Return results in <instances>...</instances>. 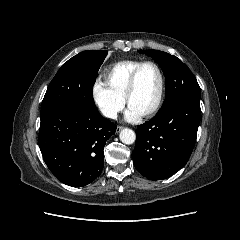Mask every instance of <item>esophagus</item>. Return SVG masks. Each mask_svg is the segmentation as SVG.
<instances>
[{"mask_svg":"<svg viewBox=\"0 0 240 240\" xmlns=\"http://www.w3.org/2000/svg\"><path fill=\"white\" fill-rule=\"evenodd\" d=\"M122 129H123L122 126H118L117 129H116V133H119Z\"/></svg>","mask_w":240,"mask_h":240,"instance_id":"1","label":"esophagus"}]
</instances>
